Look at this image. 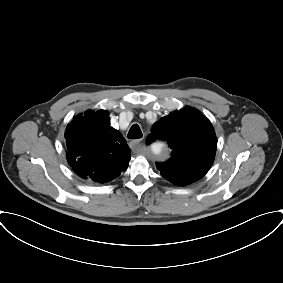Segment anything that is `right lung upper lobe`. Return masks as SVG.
Returning <instances> with one entry per match:
<instances>
[{"mask_svg": "<svg viewBox=\"0 0 283 283\" xmlns=\"http://www.w3.org/2000/svg\"><path fill=\"white\" fill-rule=\"evenodd\" d=\"M68 161L83 177L106 183L127 169L130 148L122 134L110 127L109 113L87 111L67 125Z\"/></svg>", "mask_w": 283, "mask_h": 283, "instance_id": "cb5924a9", "label": "right lung upper lobe"}]
</instances>
